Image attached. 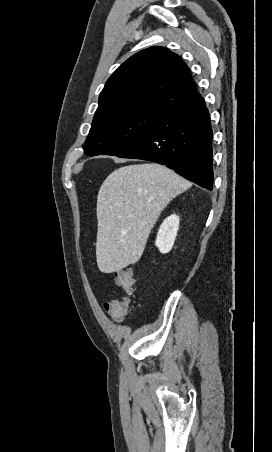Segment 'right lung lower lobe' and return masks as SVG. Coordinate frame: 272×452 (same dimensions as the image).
I'll return each mask as SVG.
<instances>
[{"mask_svg": "<svg viewBox=\"0 0 272 452\" xmlns=\"http://www.w3.org/2000/svg\"><path fill=\"white\" fill-rule=\"evenodd\" d=\"M212 128L199 93L181 107L161 114L145 133L117 157L166 165L184 178L212 190Z\"/></svg>", "mask_w": 272, "mask_h": 452, "instance_id": "right-lung-lower-lobe-1", "label": "right lung lower lobe"}]
</instances>
